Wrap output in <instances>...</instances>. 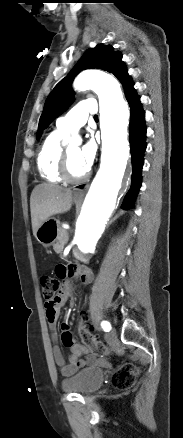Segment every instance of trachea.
Segmentation results:
<instances>
[{"label": "trachea", "mask_w": 183, "mask_h": 438, "mask_svg": "<svg viewBox=\"0 0 183 438\" xmlns=\"http://www.w3.org/2000/svg\"><path fill=\"white\" fill-rule=\"evenodd\" d=\"M94 118H98V115H95Z\"/></svg>", "instance_id": "obj_1"}]
</instances>
